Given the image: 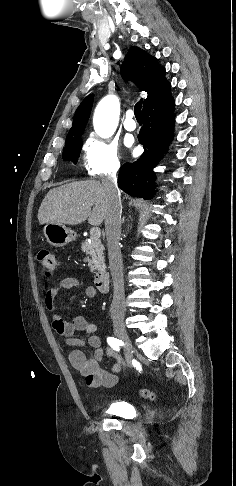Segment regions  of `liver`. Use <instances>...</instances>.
Segmentation results:
<instances>
[{"label": "liver", "mask_w": 236, "mask_h": 486, "mask_svg": "<svg viewBox=\"0 0 236 486\" xmlns=\"http://www.w3.org/2000/svg\"><path fill=\"white\" fill-rule=\"evenodd\" d=\"M107 209V192L99 181H77L51 189L40 205L38 220L40 225H78L88 219L89 224L98 226Z\"/></svg>", "instance_id": "liver-1"}]
</instances>
